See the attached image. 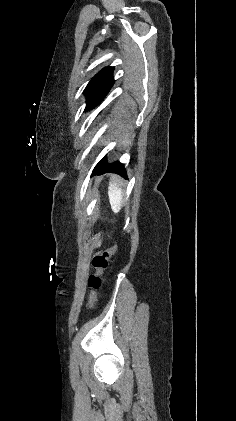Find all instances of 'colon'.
I'll return each mask as SVG.
<instances>
[{"label": "colon", "mask_w": 236, "mask_h": 421, "mask_svg": "<svg viewBox=\"0 0 236 421\" xmlns=\"http://www.w3.org/2000/svg\"><path fill=\"white\" fill-rule=\"evenodd\" d=\"M118 249L117 243L112 247L104 250L101 253L96 254L92 259V266L94 272L88 277V287L90 289L89 300L87 307L92 309L96 305L97 295L96 292L101 286V275L107 268L109 258L116 253Z\"/></svg>", "instance_id": "obj_1"}]
</instances>
